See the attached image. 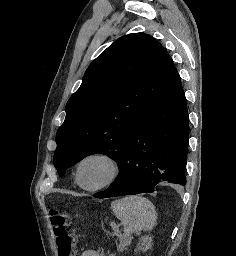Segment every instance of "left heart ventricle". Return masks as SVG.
I'll list each match as a JSON object with an SVG mask.
<instances>
[{"mask_svg": "<svg viewBox=\"0 0 236 256\" xmlns=\"http://www.w3.org/2000/svg\"><path fill=\"white\" fill-rule=\"evenodd\" d=\"M111 172V165L105 159L91 158L81 167V180L86 186H95L104 182Z\"/></svg>", "mask_w": 236, "mask_h": 256, "instance_id": "left-heart-ventricle-1", "label": "left heart ventricle"}]
</instances>
